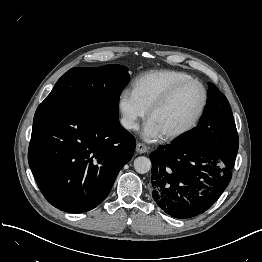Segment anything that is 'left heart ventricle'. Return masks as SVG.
I'll list each match as a JSON object with an SVG mask.
<instances>
[{
	"mask_svg": "<svg viewBox=\"0 0 262 262\" xmlns=\"http://www.w3.org/2000/svg\"><path fill=\"white\" fill-rule=\"evenodd\" d=\"M201 98L202 91L199 86H186L150 120L163 135L175 132L189 123L200 105Z\"/></svg>",
	"mask_w": 262,
	"mask_h": 262,
	"instance_id": "b2bd125f",
	"label": "left heart ventricle"
}]
</instances>
